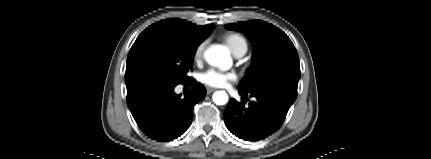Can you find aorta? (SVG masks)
Instances as JSON below:
<instances>
[{"label":"aorta","instance_id":"1","mask_svg":"<svg viewBox=\"0 0 431 159\" xmlns=\"http://www.w3.org/2000/svg\"><path fill=\"white\" fill-rule=\"evenodd\" d=\"M206 61L214 66L226 67L231 58L229 51L223 46H214L205 52ZM213 101L217 105H224L228 101V95L225 91H217L213 94Z\"/></svg>","mask_w":431,"mask_h":159}]
</instances>
